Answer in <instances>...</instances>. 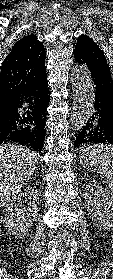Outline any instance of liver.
<instances>
[{"instance_id": "1", "label": "liver", "mask_w": 113, "mask_h": 279, "mask_svg": "<svg viewBox=\"0 0 113 279\" xmlns=\"http://www.w3.org/2000/svg\"><path fill=\"white\" fill-rule=\"evenodd\" d=\"M39 154L22 145H0V207L10 203L31 179Z\"/></svg>"}]
</instances>
